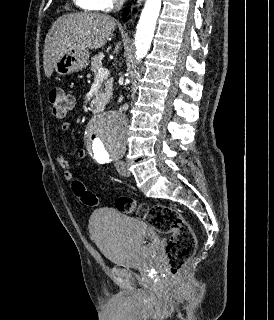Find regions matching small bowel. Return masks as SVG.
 I'll return each mask as SVG.
<instances>
[{
	"mask_svg": "<svg viewBox=\"0 0 274 320\" xmlns=\"http://www.w3.org/2000/svg\"><path fill=\"white\" fill-rule=\"evenodd\" d=\"M70 129V123L68 122H64L61 124V130L62 131H68ZM87 156V151L85 149H81L78 151V158L79 159H84ZM56 161L59 164L64 177L67 180H72L73 179V173H72V169H71V164L69 163V161H67L63 155L58 154L56 156Z\"/></svg>",
	"mask_w": 274,
	"mask_h": 320,
	"instance_id": "1",
	"label": "small bowel"
}]
</instances>
